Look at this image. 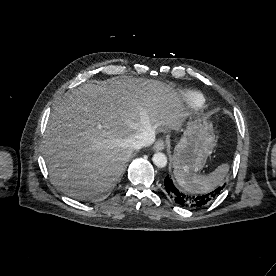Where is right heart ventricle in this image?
Segmentation results:
<instances>
[{
	"label": "right heart ventricle",
	"instance_id": "1",
	"mask_svg": "<svg viewBox=\"0 0 276 276\" xmlns=\"http://www.w3.org/2000/svg\"><path fill=\"white\" fill-rule=\"evenodd\" d=\"M186 102L192 110H198L202 108L205 104V98L204 96L195 91H190L185 96Z\"/></svg>",
	"mask_w": 276,
	"mask_h": 276
}]
</instances>
